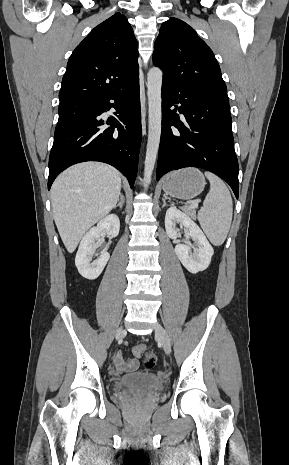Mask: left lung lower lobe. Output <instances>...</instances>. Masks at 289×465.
Segmentation results:
<instances>
[{"instance_id":"1","label":"left lung lower lobe","mask_w":289,"mask_h":465,"mask_svg":"<svg viewBox=\"0 0 289 465\" xmlns=\"http://www.w3.org/2000/svg\"><path fill=\"white\" fill-rule=\"evenodd\" d=\"M172 106H175L173 110ZM177 110L184 115L187 126L179 120ZM184 167H198L215 173L231 186L238 198L239 167L233 147L228 101L163 82L162 133L156 179Z\"/></svg>"}]
</instances>
